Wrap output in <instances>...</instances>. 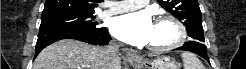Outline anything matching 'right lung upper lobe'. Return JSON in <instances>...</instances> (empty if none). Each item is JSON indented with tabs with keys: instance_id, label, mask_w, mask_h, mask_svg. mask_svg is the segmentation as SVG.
Masks as SVG:
<instances>
[{
	"instance_id": "cb5924a9",
	"label": "right lung upper lobe",
	"mask_w": 246,
	"mask_h": 69,
	"mask_svg": "<svg viewBox=\"0 0 246 69\" xmlns=\"http://www.w3.org/2000/svg\"><path fill=\"white\" fill-rule=\"evenodd\" d=\"M98 0H46L42 17L59 14H93Z\"/></svg>"
}]
</instances>
